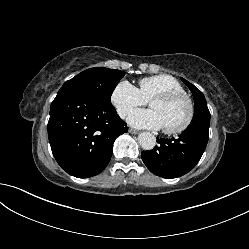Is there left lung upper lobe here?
<instances>
[{
  "label": "left lung upper lobe",
  "mask_w": 249,
  "mask_h": 249,
  "mask_svg": "<svg viewBox=\"0 0 249 249\" xmlns=\"http://www.w3.org/2000/svg\"><path fill=\"white\" fill-rule=\"evenodd\" d=\"M182 81L188 86V88L191 90L194 102H195V111L193 115V119H197L199 117H209L210 118V112L207 107L206 99L203 95V93L197 89L194 85L189 83L184 78H181Z\"/></svg>",
  "instance_id": "5c2ea615"
}]
</instances>
